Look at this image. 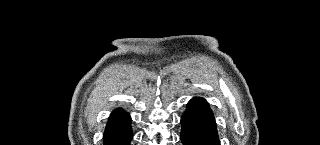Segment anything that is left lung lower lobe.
<instances>
[{
    "label": "left lung lower lobe",
    "mask_w": 320,
    "mask_h": 145,
    "mask_svg": "<svg viewBox=\"0 0 320 145\" xmlns=\"http://www.w3.org/2000/svg\"><path fill=\"white\" fill-rule=\"evenodd\" d=\"M181 126L183 145H219L214 115L205 99L195 97L189 101Z\"/></svg>",
    "instance_id": "left-lung-lower-lobe-1"
}]
</instances>
